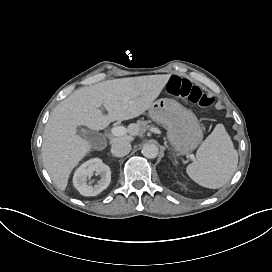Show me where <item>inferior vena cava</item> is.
Here are the masks:
<instances>
[{"instance_id":"1","label":"inferior vena cava","mask_w":272,"mask_h":272,"mask_svg":"<svg viewBox=\"0 0 272 272\" xmlns=\"http://www.w3.org/2000/svg\"><path fill=\"white\" fill-rule=\"evenodd\" d=\"M131 151L130 143L126 141H117L111 146V153L116 157H123Z\"/></svg>"}]
</instances>
